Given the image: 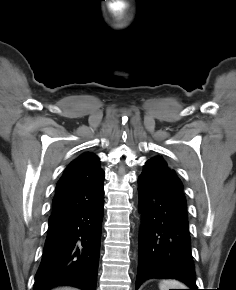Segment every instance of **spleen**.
<instances>
[{"label":"spleen","instance_id":"3e777b00","mask_svg":"<svg viewBox=\"0 0 236 290\" xmlns=\"http://www.w3.org/2000/svg\"><path fill=\"white\" fill-rule=\"evenodd\" d=\"M185 285L177 280H162L159 283L160 290H169V289H185Z\"/></svg>","mask_w":236,"mask_h":290}]
</instances>
